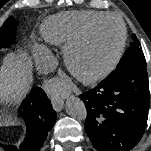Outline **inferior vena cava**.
<instances>
[{
    "label": "inferior vena cava",
    "mask_w": 151,
    "mask_h": 151,
    "mask_svg": "<svg viewBox=\"0 0 151 151\" xmlns=\"http://www.w3.org/2000/svg\"><path fill=\"white\" fill-rule=\"evenodd\" d=\"M58 65V61H57V58L52 55V54H49L47 56H45L43 59H42V63H41V68L45 71V72H50V71H53L56 69ZM54 105L56 104V101H53Z\"/></svg>",
    "instance_id": "obj_1"
}]
</instances>
